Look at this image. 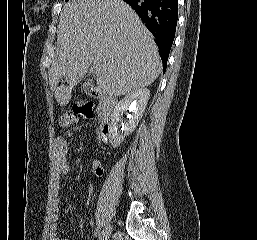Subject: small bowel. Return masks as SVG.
<instances>
[{
    "mask_svg": "<svg viewBox=\"0 0 257 240\" xmlns=\"http://www.w3.org/2000/svg\"><path fill=\"white\" fill-rule=\"evenodd\" d=\"M54 149V177H55V200L51 208L50 215V240H68L62 238L59 233L58 221H59V203H58V188L59 180L61 176L66 175L70 172V165L68 162L69 150L66 140L63 137H57L53 145ZM93 168L97 175L101 174V168L98 161H93Z\"/></svg>",
    "mask_w": 257,
    "mask_h": 240,
    "instance_id": "obj_1",
    "label": "small bowel"
}]
</instances>
